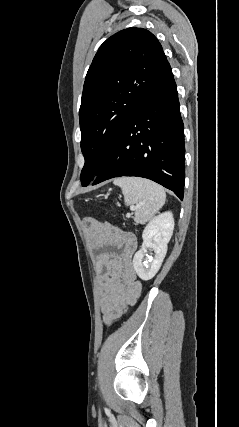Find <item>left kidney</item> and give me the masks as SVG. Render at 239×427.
<instances>
[{
	"mask_svg": "<svg viewBox=\"0 0 239 427\" xmlns=\"http://www.w3.org/2000/svg\"><path fill=\"white\" fill-rule=\"evenodd\" d=\"M174 230L172 212H164L153 218L142 233L143 244L133 258L134 269L142 280L152 279L160 269L167 253V244ZM148 249L154 251V257L144 259Z\"/></svg>",
	"mask_w": 239,
	"mask_h": 427,
	"instance_id": "5707ae66",
	"label": "left kidney"
}]
</instances>
